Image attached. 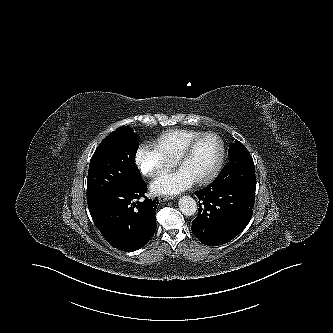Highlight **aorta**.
<instances>
[{"mask_svg":"<svg viewBox=\"0 0 333 333\" xmlns=\"http://www.w3.org/2000/svg\"><path fill=\"white\" fill-rule=\"evenodd\" d=\"M180 211L186 216H192L196 213V201L190 196H182L178 202Z\"/></svg>","mask_w":333,"mask_h":333,"instance_id":"aorta-1","label":"aorta"}]
</instances>
